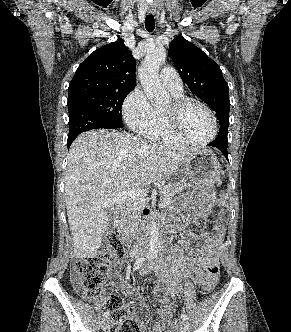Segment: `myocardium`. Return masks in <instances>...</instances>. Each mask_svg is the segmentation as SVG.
<instances>
[{"instance_id":"f54148a6","label":"myocardium","mask_w":291,"mask_h":332,"mask_svg":"<svg viewBox=\"0 0 291 332\" xmlns=\"http://www.w3.org/2000/svg\"><path fill=\"white\" fill-rule=\"evenodd\" d=\"M199 105L202 107L210 116L212 121V134L204 139V140H197L190 137L182 128L181 124V115L183 110L189 105ZM164 115L166 117L168 126L170 130L179 138L183 139L184 141L196 145H206L212 142L218 133V122L215 113L213 110L204 102L191 98V97H176L171 101L170 106L164 108Z\"/></svg>"}]
</instances>
